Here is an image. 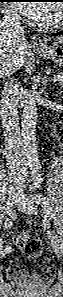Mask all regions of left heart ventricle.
Listing matches in <instances>:
<instances>
[{"label": "left heart ventricle", "instance_id": "left-heart-ventricle-1", "mask_svg": "<svg viewBox=\"0 0 63 297\" xmlns=\"http://www.w3.org/2000/svg\"><path fill=\"white\" fill-rule=\"evenodd\" d=\"M57 18H58L57 8L54 5H48L46 15H45L44 19L42 20L43 23H52V22L56 21Z\"/></svg>", "mask_w": 63, "mask_h": 297}]
</instances>
